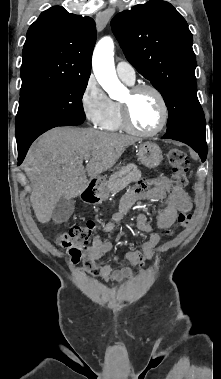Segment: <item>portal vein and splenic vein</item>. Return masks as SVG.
<instances>
[{
  "instance_id": "portal-vein-and-splenic-vein-1",
  "label": "portal vein and splenic vein",
  "mask_w": 221,
  "mask_h": 379,
  "mask_svg": "<svg viewBox=\"0 0 221 379\" xmlns=\"http://www.w3.org/2000/svg\"><path fill=\"white\" fill-rule=\"evenodd\" d=\"M89 158L86 159V162H88Z\"/></svg>"
}]
</instances>
